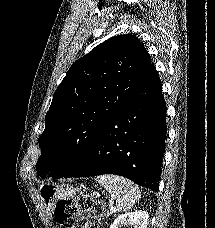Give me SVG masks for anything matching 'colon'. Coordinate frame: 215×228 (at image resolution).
<instances>
[{
  "label": "colon",
  "instance_id": "colon-1",
  "mask_svg": "<svg viewBox=\"0 0 215 228\" xmlns=\"http://www.w3.org/2000/svg\"><path fill=\"white\" fill-rule=\"evenodd\" d=\"M105 206L98 198L82 194L76 202L69 199H60L55 204V217L64 228H99L96 221L104 214ZM80 212L90 215L91 219L82 216Z\"/></svg>",
  "mask_w": 215,
  "mask_h": 228
}]
</instances>
